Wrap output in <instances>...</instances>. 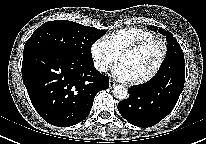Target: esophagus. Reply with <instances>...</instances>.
I'll use <instances>...</instances> for the list:
<instances>
[{
  "mask_svg": "<svg viewBox=\"0 0 206 144\" xmlns=\"http://www.w3.org/2000/svg\"><path fill=\"white\" fill-rule=\"evenodd\" d=\"M117 85V83L115 82V81H113V80H110L109 81V87L110 88H113V87H115Z\"/></svg>",
  "mask_w": 206,
  "mask_h": 144,
  "instance_id": "1",
  "label": "esophagus"
}]
</instances>
